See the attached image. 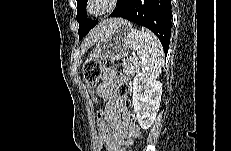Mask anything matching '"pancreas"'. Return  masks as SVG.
<instances>
[{"label":"pancreas","instance_id":"1","mask_svg":"<svg viewBox=\"0 0 231 151\" xmlns=\"http://www.w3.org/2000/svg\"><path fill=\"white\" fill-rule=\"evenodd\" d=\"M123 70L127 75H134L137 70V65L134 60H127L123 63Z\"/></svg>","mask_w":231,"mask_h":151}]
</instances>
